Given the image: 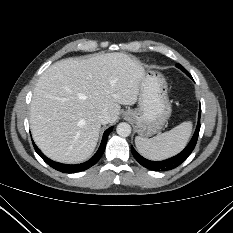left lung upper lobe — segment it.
Instances as JSON below:
<instances>
[{
  "instance_id": "obj_1",
  "label": "left lung upper lobe",
  "mask_w": 233,
  "mask_h": 233,
  "mask_svg": "<svg viewBox=\"0 0 233 233\" xmlns=\"http://www.w3.org/2000/svg\"><path fill=\"white\" fill-rule=\"evenodd\" d=\"M176 66H177L179 69H181L183 72H185L186 74H189V73L184 69V67L181 66L180 64H176Z\"/></svg>"
}]
</instances>
